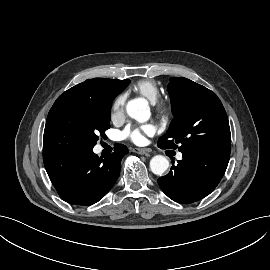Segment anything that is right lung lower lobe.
Returning <instances> with one entry per match:
<instances>
[{
    "label": "right lung lower lobe",
    "instance_id": "98d812e1",
    "mask_svg": "<svg viewBox=\"0 0 270 270\" xmlns=\"http://www.w3.org/2000/svg\"><path fill=\"white\" fill-rule=\"evenodd\" d=\"M128 153L117 144L114 152L102 159L93 150L43 151L48 176L59 196L75 205H92L101 200L116 182L121 159Z\"/></svg>",
    "mask_w": 270,
    "mask_h": 270
}]
</instances>
